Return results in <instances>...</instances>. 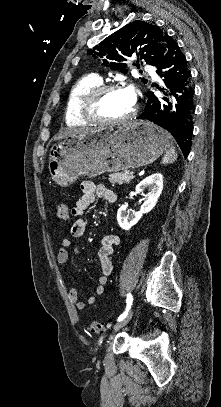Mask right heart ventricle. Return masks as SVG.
Instances as JSON below:
<instances>
[{
  "mask_svg": "<svg viewBox=\"0 0 221 407\" xmlns=\"http://www.w3.org/2000/svg\"><path fill=\"white\" fill-rule=\"evenodd\" d=\"M100 85L101 81L97 77L84 76L71 86L65 103V122L68 125L79 126L88 123L81 111V103L93 89Z\"/></svg>",
  "mask_w": 221,
  "mask_h": 407,
  "instance_id": "e07e8e85",
  "label": "right heart ventricle"
}]
</instances>
